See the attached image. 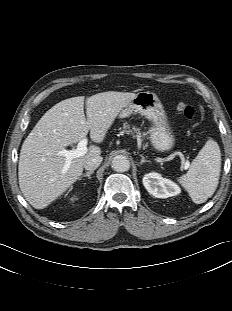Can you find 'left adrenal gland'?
Here are the masks:
<instances>
[{
	"mask_svg": "<svg viewBox=\"0 0 232 311\" xmlns=\"http://www.w3.org/2000/svg\"><path fill=\"white\" fill-rule=\"evenodd\" d=\"M140 156H141V162H140L141 165L145 162H149L148 160L145 159L143 155H140Z\"/></svg>",
	"mask_w": 232,
	"mask_h": 311,
	"instance_id": "obj_1",
	"label": "left adrenal gland"
}]
</instances>
